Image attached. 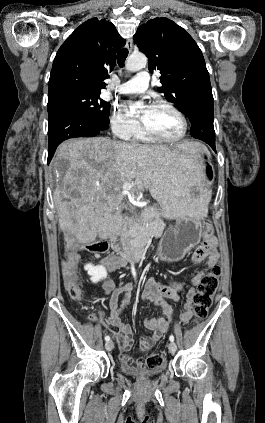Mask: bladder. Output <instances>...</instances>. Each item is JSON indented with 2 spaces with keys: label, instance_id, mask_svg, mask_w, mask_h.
Wrapping results in <instances>:
<instances>
[{
  "label": "bladder",
  "instance_id": "1",
  "mask_svg": "<svg viewBox=\"0 0 265 423\" xmlns=\"http://www.w3.org/2000/svg\"><path fill=\"white\" fill-rule=\"evenodd\" d=\"M121 371L127 375L134 376L137 378H148L154 377L161 374L164 371L163 367L158 368H137V367H130L122 362L119 365Z\"/></svg>",
  "mask_w": 265,
  "mask_h": 423
}]
</instances>
